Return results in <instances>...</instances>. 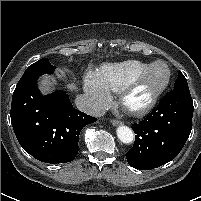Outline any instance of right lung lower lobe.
I'll return each instance as SVG.
<instances>
[{
  "label": "right lung lower lobe",
  "instance_id": "1",
  "mask_svg": "<svg viewBox=\"0 0 201 201\" xmlns=\"http://www.w3.org/2000/svg\"><path fill=\"white\" fill-rule=\"evenodd\" d=\"M53 65L29 66L12 96L11 123L21 147L45 163H65L78 153L79 134L96 118L73 108L68 95L58 91L43 96L37 88L40 75Z\"/></svg>",
  "mask_w": 201,
  "mask_h": 201
}]
</instances>
